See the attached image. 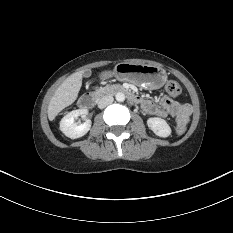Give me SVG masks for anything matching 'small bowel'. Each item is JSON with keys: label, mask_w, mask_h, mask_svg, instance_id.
I'll list each match as a JSON object with an SVG mask.
<instances>
[{"label": "small bowel", "mask_w": 233, "mask_h": 233, "mask_svg": "<svg viewBox=\"0 0 233 233\" xmlns=\"http://www.w3.org/2000/svg\"><path fill=\"white\" fill-rule=\"evenodd\" d=\"M141 107L149 115L173 119L176 127H186L192 111L189 104L173 102L165 97L157 103L142 100Z\"/></svg>", "instance_id": "obj_1"}]
</instances>
